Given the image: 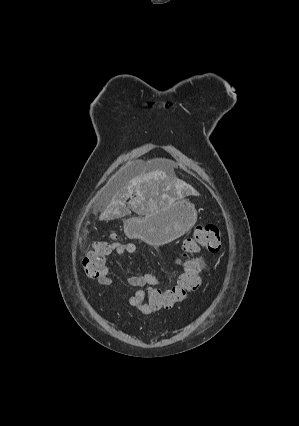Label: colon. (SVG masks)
Masks as SVG:
<instances>
[{"mask_svg": "<svg viewBox=\"0 0 299 426\" xmlns=\"http://www.w3.org/2000/svg\"><path fill=\"white\" fill-rule=\"evenodd\" d=\"M112 243L96 241L90 251L81 257V265L87 276L97 278L106 264ZM183 254L187 258L176 284L164 288L150 285L145 289L148 304L155 310H168L183 302L190 292L200 285V267L193 256L201 251L216 253L221 247L219 228L214 224H199L192 235L183 242Z\"/></svg>", "mask_w": 299, "mask_h": 426, "instance_id": "colon-1", "label": "colon"}]
</instances>
